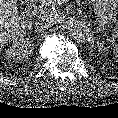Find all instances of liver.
Wrapping results in <instances>:
<instances>
[{"mask_svg":"<svg viewBox=\"0 0 118 118\" xmlns=\"http://www.w3.org/2000/svg\"><path fill=\"white\" fill-rule=\"evenodd\" d=\"M47 5H61L69 0H43ZM32 22L18 15L16 0H0V51L4 45L15 41L26 34Z\"/></svg>","mask_w":118,"mask_h":118,"instance_id":"1","label":"liver"}]
</instances>
